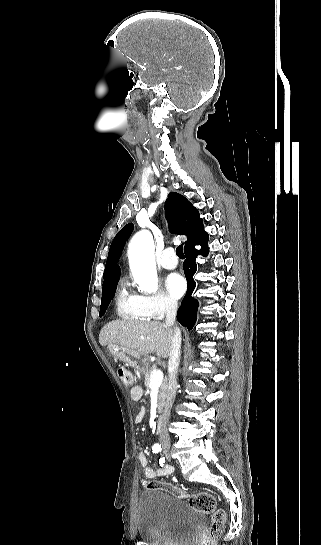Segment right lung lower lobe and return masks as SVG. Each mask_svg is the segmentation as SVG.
<instances>
[{"mask_svg":"<svg viewBox=\"0 0 321 545\" xmlns=\"http://www.w3.org/2000/svg\"><path fill=\"white\" fill-rule=\"evenodd\" d=\"M195 245H201V250H197ZM208 252V234L204 231L203 227L194 237L185 243L186 260L183 264V269L188 282V289L181 306L178 309L177 320L181 325L187 327L188 330L193 328L197 318L198 301L192 297L193 290L196 286L193 279V275L197 270L195 260L198 254L207 256Z\"/></svg>","mask_w":321,"mask_h":545,"instance_id":"1","label":"right lung lower lobe"}]
</instances>
